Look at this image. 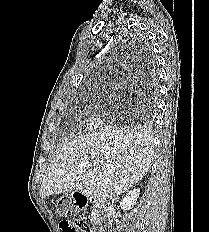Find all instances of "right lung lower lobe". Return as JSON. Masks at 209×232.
I'll return each mask as SVG.
<instances>
[{
    "label": "right lung lower lobe",
    "instance_id": "right-lung-lower-lobe-1",
    "mask_svg": "<svg viewBox=\"0 0 209 232\" xmlns=\"http://www.w3.org/2000/svg\"><path fill=\"white\" fill-rule=\"evenodd\" d=\"M143 54H144V55H143V60L150 62V61H151V57H150V55H149V54H147L146 52H145V53H143Z\"/></svg>",
    "mask_w": 209,
    "mask_h": 232
}]
</instances>
